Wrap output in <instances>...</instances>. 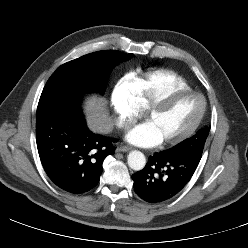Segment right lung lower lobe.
<instances>
[{
    "instance_id": "1",
    "label": "right lung lower lobe",
    "mask_w": 248,
    "mask_h": 248,
    "mask_svg": "<svg viewBox=\"0 0 248 248\" xmlns=\"http://www.w3.org/2000/svg\"><path fill=\"white\" fill-rule=\"evenodd\" d=\"M115 138L91 132L75 104L38 105L36 142L42 166L62 190L81 194L94 188L103 161L114 154Z\"/></svg>"
}]
</instances>
